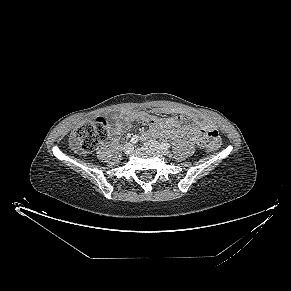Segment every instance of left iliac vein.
Listing matches in <instances>:
<instances>
[{
    "label": "left iliac vein",
    "instance_id": "left-iliac-vein-1",
    "mask_svg": "<svg viewBox=\"0 0 291 291\" xmlns=\"http://www.w3.org/2000/svg\"><path fill=\"white\" fill-rule=\"evenodd\" d=\"M146 144L148 146H151L155 149H157L158 151H160L163 155H167L168 154V150L163 148L156 140L150 139L146 142Z\"/></svg>",
    "mask_w": 291,
    "mask_h": 291
}]
</instances>
